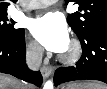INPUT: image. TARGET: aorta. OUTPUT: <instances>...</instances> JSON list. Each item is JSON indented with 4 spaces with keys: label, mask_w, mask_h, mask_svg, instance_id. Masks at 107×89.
I'll return each mask as SVG.
<instances>
[{
    "label": "aorta",
    "mask_w": 107,
    "mask_h": 89,
    "mask_svg": "<svg viewBox=\"0 0 107 89\" xmlns=\"http://www.w3.org/2000/svg\"><path fill=\"white\" fill-rule=\"evenodd\" d=\"M43 89H54L53 81L48 80L45 84Z\"/></svg>",
    "instance_id": "obj_1"
}]
</instances>
